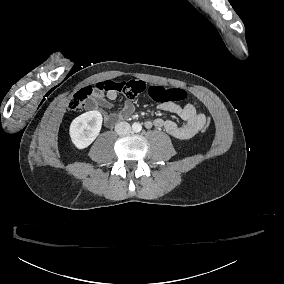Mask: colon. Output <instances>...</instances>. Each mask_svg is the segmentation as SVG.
Listing matches in <instances>:
<instances>
[{
	"label": "colon",
	"instance_id": "1",
	"mask_svg": "<svg viewBox=\"0 0 284 284\" xmlns=\"http://www.w3.org/2000/svg\"><path fill=\"white\" fill-rule=\"evenodd\" d=\"M147 83L143 80H130V81H115V80H103L99 81L94 85L99 91H118L124 93L128 96L139 95L146 88ZM86 92H93V86H88L86 88L80 89L74 93L70 100V107L73 110H78L84 104V100L87 97ZM150 96L161 103L166 101H182L187 96V91L182 86H177L173 90L166 89L164 86L159 84H154L149 89ZM212 119H207L204 130H202V135H207L209 129L211 128Z\"/></svg>",
	"mask_w": 284,
	"mask_h": 284
}]
</instances>
